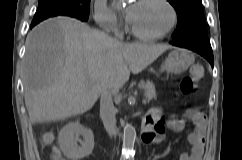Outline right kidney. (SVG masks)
Instances as JSON below:
<instances>
[{
	"label": "right kidney",
	"mask_w": 242,
	"mask_h": 160,
	"mask_svg": "<svg viewBox=\"0 0 242 160\" xmlns=\"http://www.w3.org/2000/svg\"><path fill=\"white\" fill-rule=\"evenodd\" d=\"M79 136L83 137V141L80 140V146L77 145ZM58 143L66 157L72 160L82 159L89 156L93 151V132L82 126L79 122H71L60 130Z\"/></svg>",
	"instance_id": "ca27d5eb"
}]
</instances>
